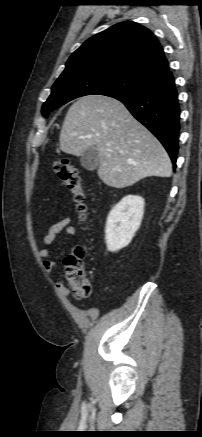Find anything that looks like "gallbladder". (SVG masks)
Here are the masks:
<instances>
[{
	"instance_id": "obj_1",
	"label": "gallbladder",
	"mask_w": 202,
	"mask_h": 437,
	"mask_svg": "<svg viewBox=\"0 0 202 437\" xmlns=\"http://www.w3.org/2000/svg\"><path fill=\"white\" fill-rule=\"evenodd\" d=\"M80 162L86 170L93 171L97 169L100 164L97 150L94 147H88L80 156Z\"/></svg>"
}]
</instances>
